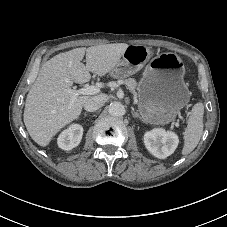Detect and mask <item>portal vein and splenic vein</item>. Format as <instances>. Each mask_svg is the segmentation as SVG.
<instances>
[{"label": "portal vein and splenic vein", "instance_id": "1", "mask_svg": "<svg viewBox=\"0 0 227 227\" xmlns=\"http://www.w3.org/2000/svg\"><path fill=\"white\" fill-rule=\"evenodd\" d=\"M67 93L72 95L70 104H72L77 96L79 95H94L100 92V88L98 86H85L84 88H81L79 90H73V89H67L66 90ZM174 125L178 128L179 127V122L178 120L174 122Z\"/></svg>", "mask_w": 227, "mask_h": 227}]
</instances>
